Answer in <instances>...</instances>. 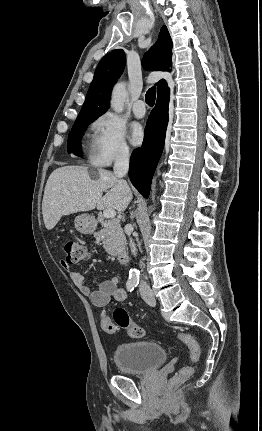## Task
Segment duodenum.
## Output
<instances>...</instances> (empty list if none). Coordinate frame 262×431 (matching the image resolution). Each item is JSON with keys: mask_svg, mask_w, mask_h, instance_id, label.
<instances>
[{"mask_svg": "<svg viewBox=\"0 0 262 431\" xmlns=\"http://www.w3.org/2000/svg\"><path fill=\"white\" fill-rule=\"evenodd\" d=\"M117 260H118V263H120V264H127L129 262V255H128V253H126V252H120L117 255Z\"/></svg>", "mask_w": 262, "mask_h": 431, "instance_id": "410a0bca", "label": "duodenum"}]
</instances>
